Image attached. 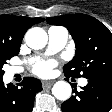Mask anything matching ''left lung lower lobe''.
Wrapping results in <instances>:
<instances>
[{
  "instance_id": "1",
  "label": "left lung lower lobe",
  "mask_w": 112,
  "mask_h": 112,
  "mask_svg": "<svg viewBox=\"0 0 112 112\" xmlns=\"http://www.w3.org/2000/svg\"><path fill=\"white\" fill-rule=\"evenodd\" d=\"M66 77H70L65 74ZM63 102V112H109L112 108V78H88V84Z\"/></svg>"
}]
</instances>
